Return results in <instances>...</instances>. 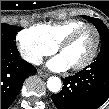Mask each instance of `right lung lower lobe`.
Segmentation results:
<instances>
[{"label":"right lung lower lobe","mask_w":109,"mask_h":109,"mask_svg":"<svg viewBox=\"0 0 109 109\" xmlns=\"http://www.w3.org/2000/svg\"><path fill=\"white\" fill-rule=\"evenodd\" d=\"M35 73L36 68L19 57L17 48L1 43V109L11 105L25 79Z\"/></svg>","instance_id":"obj_1"}]
</instances>
